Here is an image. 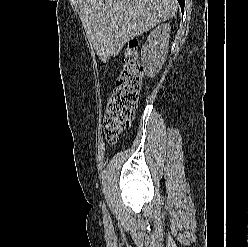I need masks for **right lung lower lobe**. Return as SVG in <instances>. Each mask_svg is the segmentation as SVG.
Listing matches in <instances>:
<instances>
[{
  "mask_svg": "<svg viewBox=\"0 0 248 247\" xmlns=\"http://www.w3.org/2000/svg\"><path fill=\"white\" fill-rule=\"evenodd\" d=\"M180 6H181V10L183 11L184 10V2L185 0H178Z\"/></svg>",
  "mask_w": 248,
  "mask_h": 247,
  "instance_id": "right-lung-lower-lobe-1",
  "label": "right lung lower lobe"
}]
</instances>
